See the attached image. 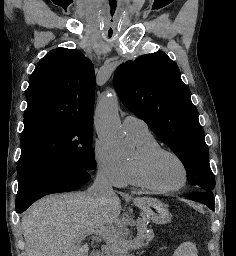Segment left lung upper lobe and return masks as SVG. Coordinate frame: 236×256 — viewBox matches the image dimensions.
I'll list each match as a JSON object with an SVG mask.
<instances>
[{
    "label": "left lung upper lobe",
    "instance_id": "left-lung-upper-lobe-1",
    "mask_svg": "<svg viewBox=\"0 0 236 256\" xmlns=\"http://www.w3.org/2000/svg\"><path fill=\"white\" fill-rule=\"evenodd\" d=\"M114 86L123 104L179 157L189 184L213 189L204 130L177 64L163 52L143 55L116 69Z\"/></svg>",
    "mask_w": 236,
    "mask_h": 256
}]
</instances>
